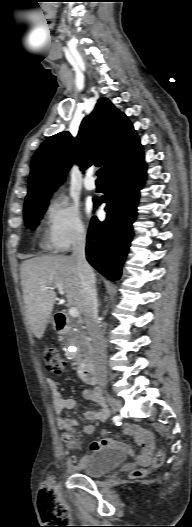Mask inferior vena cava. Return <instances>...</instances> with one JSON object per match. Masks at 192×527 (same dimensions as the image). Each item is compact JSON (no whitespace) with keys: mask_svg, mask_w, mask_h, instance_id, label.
I'll use <instances>...</instances> for the list:
<instances>
[{"mask_svg":"<svg viewBox=\"0 0 192 527\" xmlns=\"http://www.w3.org/2000/svg\"><path fill=\"white\" fill-rule=\"evenodd\" d=\"M86 232L84 227L76 229L72 239V257L76 260L82 287L83 314L88 334L91 338L96 373L100 385L106 384V345L98 321V301L95 274L86 260Z\"/></svg>","mask_w":192,"mask_h":527,"instance_id":"602c4592","label":"inferior vena cava"}]
</instances>
